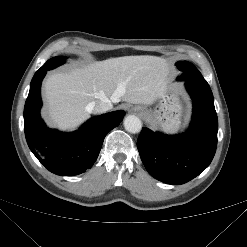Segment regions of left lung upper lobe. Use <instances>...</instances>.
Returning a JSON list of instances; mask_svg holds the SVG:
<instances>
[{
	"label": "left lung upper lobe",
	"mask_w": 247,
	"mask_h": 247,
	"mask_svg": "<svg viewBox=\"0 0 247 247\" xmlns=\"http://www.w3.org/2000/svg\"><path fill=\"white\" fill-rule=\"evenodd\" d=\"M176 66L183 72L178 79L205 80L201 73L190 62L179 61L176 63Z\"/></svg>",
	"instance_id": "5c2ea615"
}]
</instances>
